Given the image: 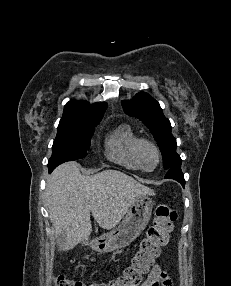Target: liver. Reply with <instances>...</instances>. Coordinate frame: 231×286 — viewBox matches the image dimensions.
<instances>
[{
	"label": "liver",
	"instance_id": "1",
	"mask_svg": "<svg viewBox=\"0 0 231 286\" xmlns=\"http://www.w3.org/2000/svg\"><path fill=\"white\" fill-rule=\"evenodd\" d=\"M154 194L149 187L117 170L84 176L74 162L58 166L45 190L50 222L60 236L63 250L88 239L92 232L90 213L101 228L111 230L139 197Z\"/></svg>",
	"mask_w": 231,
	"mask_h": 286
}]
</instances>
